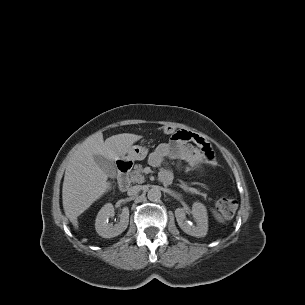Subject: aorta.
Masks as SVG:
<instances>
[{"label":"aorta","mask_w":305,"mask_h":305,"mask_svg":"<svg viewBox=\"0 0 305 305\" xmlns=\"http://www.w3.org/2000/svg\"><path fill=\"white\" fill-rule=\"evenodd\" d=\"M147 197L150 201H157L161 198V191L159 188L153 187L148 191Z\"/></svg>","instance_id":"762f6f07"}]
</instances>
